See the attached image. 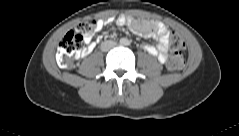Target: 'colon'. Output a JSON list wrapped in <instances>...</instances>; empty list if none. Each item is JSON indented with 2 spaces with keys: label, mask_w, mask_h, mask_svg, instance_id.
<instances>
[{
  "label": "colon",
  "mask_w": 239,
  "mask_h": 136,
  "mask_svg": "<svg viewBox=\"0 0 239 136\" xmlns=\"http://www.w3.org/2000/svg\"><path fill=\"white\" fill-rule=\"evenodd\" d=\"M97 29L98 22L92 19L80 23L75 31L68 32L58 46L56 55L58 65L64 69L71 68L83 49L84 37L91 36ZM170 46L173 54L167 66L173 71L180 70L184 66L185 41L179 34L173 32L170 38Z\"/></svg>",
  "instance_id": "colon-1"
}]
</instances>
